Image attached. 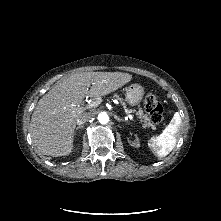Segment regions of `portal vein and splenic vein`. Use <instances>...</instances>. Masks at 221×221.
I'll list each match as a JSON object with an SVG mask.
<instances>
[{"mask_svg":"<svg viewBox=\"0 0 221 221\" xmlns=\"http://www.w3.org/2000/svg\"><path fill=\"white\" fill-rule=\"evenodd\" d=\"M100 103H101V100L96 99V100L90 102V103L86 106V109L95 108V107L98 106ZM73 108H74L75 110L80 109L79 106H73ZM128 118H129L130 120H133V116H132L131 114H129V113H128Z\"/></svg>","mask_w":221,"mask_h":221,"instance_id":"1","label":"portal vein and splenic vein"}]
</instances>
